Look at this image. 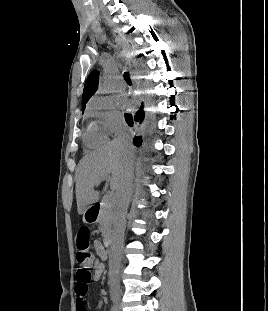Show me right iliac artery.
I'll list each match as a JSON object with an SVG mask.
<instances>
[{
	"label": "right iliac artery",
	"instance_id": "right-iliac-artery-1",
	"mask_svg": "<svg viewBox=\"0 0 268 311\" xmlns=\"http://www.w3.org/2000/svg\"><path fill=\"white\" fill-rule=\"evenodd\" d=\"M110 311H116L114 306H111V310Z\"/></svg>",
	"mask_w": 268,
	"mask_h": 311
}]
</instances>
